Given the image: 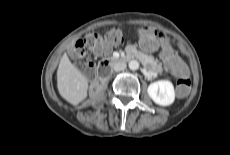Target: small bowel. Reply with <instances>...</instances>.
I'll use <instances>...</instances> for the list:
<instances>
[{"label": "small bowel", "instance_id": "small-bowel-1", "mask_svg": "<svg viewBox=\"0 0 230 155\" xmlns=\"http://www.w3.org/2000/svg\"><path fill=\"white\" fill-rule=\"evenodd\" d=\"M139 36L141 44L146 51H153L157 48V46L160 49H163L162 56L165 65L168 69L177 74L182 64L176 56L177 50L176 47L172 45V38L167 36L164 30H161L153 25L142 28ZM128 50L135 52V47L131 45L128 47Z\"/></svg>", "mask_w": 230, "mask_h": 155}]
</instances>
